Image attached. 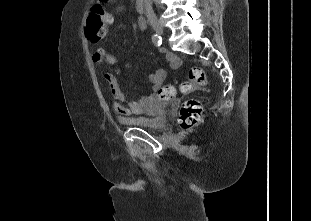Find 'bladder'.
Here are the masks:
<instances>
[{
  "label": "bladder",
  "instance_id": "bladder-1",
  "mask_svg": "<svg viewBox=\"0 0 311 221\" xmlns=\"http://www.w3.org/2000/svg\"><path fill=\"white\" fill-rule=\"evenodd\" d=\"M170 122V117L165 109V103L160 102L146 108L145 113L132 119V123L151 130H159L166 127Z\"/></svg>",
  "mask_w": 311,
  "mask_h": 221
}]
</instances>
